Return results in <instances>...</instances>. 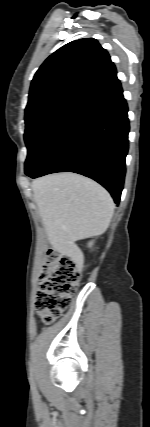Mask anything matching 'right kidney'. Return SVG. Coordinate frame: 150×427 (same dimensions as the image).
Masks as SVG:
<instances>
[{"instance_id":"right-kidney-1","label":"right kidney","mask_w":150,"mask_h":427,"mask_svg":"<svg viewBox=\"0 0 150 427\" xmlns=\"http://www.w3.org/2000/svg\"><path fill=\"white\" fill-rule=\"evenodd\" d=\"M92 244H93V243H92V242H90V243H89V246L91 247V246H92Z\"/></svg>"}]
</instances>
